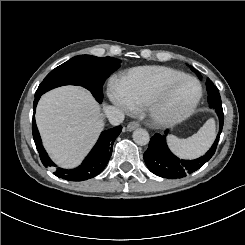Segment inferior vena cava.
I'll return each instance as SVG.
<instances>
[{
	"instance_id": "602c4592",
	"label": "inferior vena cava",
	"mask_w": 245,
	"mask_h": 245,
	"mask_svg": "<svg viewBox=\"0 0 245 245\" xmlns=\"http://www.w3.org/2000/svg\"><path fill=\"white\" fill-rule=\"evenodd\" d=\"M104 113L112 125H119L124 120V113L114 106L104 107Z\"/></svg>"
}]
</instances>
